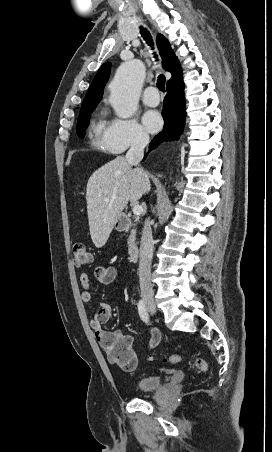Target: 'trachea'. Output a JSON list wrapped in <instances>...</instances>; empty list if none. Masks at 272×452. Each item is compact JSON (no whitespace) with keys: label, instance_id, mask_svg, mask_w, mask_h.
Segmentation results:
<instances>
[{"label":"trachea","instance_id":"3493384b","mask_svg":"<svg viewBox=\"0 0 272 452\" xmlns=\"http://www.w3.org/2000/svg\"><path fill=\"white\" fill-rule=\"evenodd\" d=\"M141 34L144 40L148 43V45L153 46V40L150 33L146 29L141 28ZM165 81L166 79L164 75H159L156 85L157 88L162 92H165Z\"/></svg>","mask_w":272,"mask_h":452}]
</instances>
